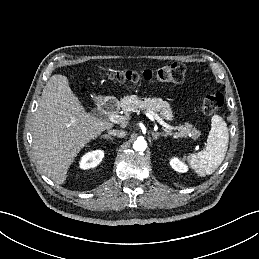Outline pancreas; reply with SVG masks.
Segmentation results:
<instances>
[{
	"label": "pancreas",
	"mask_w": 259,
	"mask_h": 259,
	"mask_svg": "<svg viewBox=\"0 0 259 259\" xmlns=\"http://www.w3.org/2000/svg\"><path fill=\"white\" fill-rule=\"evenodd\" d=\"M119 106L129 115L131 112H136L138 109L152 111L166 120H172L173 114L171 107L168 102L163 101L161 98L155 97H145L143 100L137 95H131L123 97L119 103ZM180 131L178 135L180 137H186L191 134L193 139L200 136V131L195 129L191 124L187 123L185 125L177 127Z\"/></svg>",
	"instance_id": "1"
}]
</instances>
